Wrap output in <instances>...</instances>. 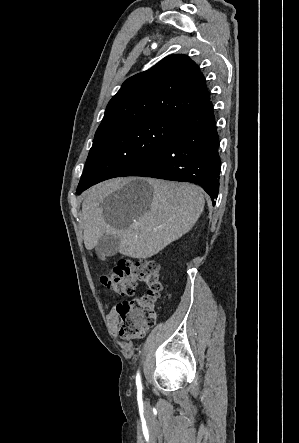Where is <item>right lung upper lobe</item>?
<instances>
[{"label":"right lung upper lobe","instance_id":"1","mask_svg":"<svg viewBox=\"0 0 299 443\" xmlns=\"http://www.w3.org/2000/svg\"><path fill=\"white\" fill-rule=\"evenodd\" d=\"M208 100L198 66L186 55H170L123 83L110 100L95 136L144 118L180 120Z\"/></svg>","mask_w":299,"mask_h":443}]
</instances>
